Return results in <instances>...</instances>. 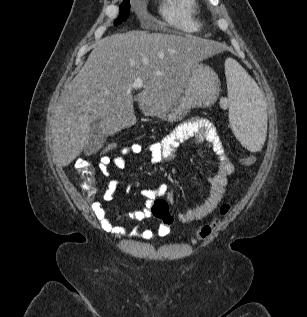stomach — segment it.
Masks as SVG:
<instances>
[{
  "label": "stomach",
  "instance_id": "stomach-1",
  "mask_svg": "<svg viewBox=\"0 0 307 317\" xmlns=\"http://www.w3.org/2000/svg\"><path fill=\"white\" fill-rule=\"evenodd\" d=\"M219 79L209 66L197 63L192 66L182 95L174 99L165 110L155 111L153 116L168 121L181 120L189 109L208 107L219 95Z\"/></svg>",
  "mask_w": 307,
  "mask_h": 317
}]
</instances>
